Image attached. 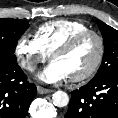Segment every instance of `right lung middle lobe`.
I'll return each instance as SVG.
<instances>
[{
    "label": "right lung middle lobe",
    "mask_w": 118,
    "mask_h": 118,
    "mask_svg": "<svg viewBox=\"0 0 118 118\" xmlns=\"http://www.w3.org/2000/svg\"><path fill=\"white\" fill-rule=\"evenodd\" d=\"M29 27V23L19 19H0V62L17 63L14 54L19 38Z\"/></svg>",
    "instance_id": "right-lung-middle-lobe-1"
}]
</instances>
